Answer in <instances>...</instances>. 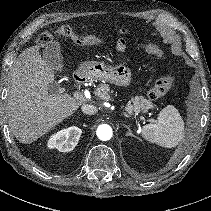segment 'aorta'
Listing matches in <instances>:
<instances>
[{
	"label": "aorta",
	"instance_id": "obj_1",
	"mask_svg": "<svg viewBox=\"0 0 211 211\" xmlns=\"http://www.w3.org/2000/svg\"><path fill=\"white\" fill-rule=\"evenodd\" d=\"M97 137L102 141H107L112 137V128L107 124L98 126L96 131Z\"/></svg>",
	"mask_w": 211,
	"mask_h": 211
}]
</instances>
